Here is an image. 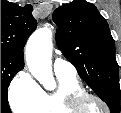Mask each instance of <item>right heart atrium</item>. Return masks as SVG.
<instances>
[{"label":"right heart atrium","instance_id":"1","mask_svg":"<svg viewBox=\"0 0 121 113\" xmlns=\"http://www.w3.org/2000/svg\"><path fill=\"white\" fill-rule=\"evenodd\" d=\"M40 88L36 81L25 71H20L12 79L8 98L12 109L32 105L38 98Z\"/></svg>","mask_w":121,"mask_h":113}]
</instances>
